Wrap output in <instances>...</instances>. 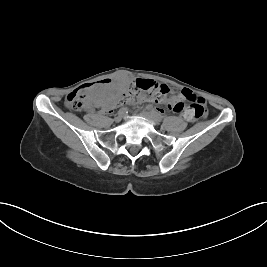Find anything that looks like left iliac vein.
Instances as JSON below:
<instances>
[{"label":"left iliac vein","instance_id":"left-iliac-vein-1","mask_svg":"<svg viewBox=\"0 0 267 267\" xmlns=\"http://www.w3.org/2000/svg\"><path fill=\"white\" fill-rule=\"evenodd\" d=\"M141 116L145 118L147 121L151 122L152 124H158L159 121H157L152 115H150L148 112L143 111L141 112Z\"/></svg>","mask_w":267,"mask_h":267}]
</instances>
